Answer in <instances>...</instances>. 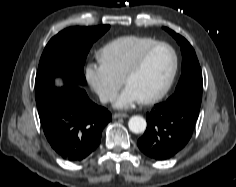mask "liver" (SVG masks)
I'll use <instances>...</instances> for the list:
<instances>
[{
	"instance_id": "obj_1",
	"label": "liver",
	"mask_w": 236,
	"mask_h": 187,
	"mask_svg": "<svg viewBox=\"0 0 236 187\" xmlns=\"http://www.w3.org/2000/svg\"><path fill=\"white\" fill-rule=\"evenodd\" d=\"M56 84H57V86H61V83L59 80L56 82Z\"/></svg>"
}]
</instances>
